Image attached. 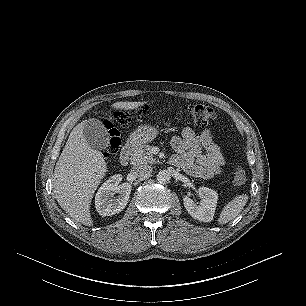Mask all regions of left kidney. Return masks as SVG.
<instances>
[{
	"mask_svg": "<svg viewBox=\"0 0 306 306\" xmlns=\"http://www.w3.org/2000/svg\"><path fill=\"white\" fill-rule=\"evenodd\" d=\"M199 196L201 198L199 205L188 196H184V207L194 219L203 222H210L214 217L218 194L216 191L207 187H200Z\"/></svg>",
	"mask_w": 306,
	"mask_h": 306,
	"instance_id": "left-kidney-1",
	"label": "left kidney"
}]
</instances>
